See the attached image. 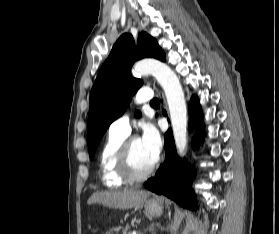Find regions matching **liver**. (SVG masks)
Instances as JSON below:
<instances>
[{
    "label": "liver",
    "instance_id": "6515ba94",
    "mask_svg": "<svg viewBox=\"0 0 279 234\" xmlns=\"http://www.w3.org/2000/svg\"><path fill=\"white\" fill-rule=\"evenodd\" d=\"M150 193L143 190H123L95 192L88 199L87 204L99 203L115 209H131L140 205L149 197Z\"/></svg>",
    "mask_w": 279,
    "mask_h": 234
}]
</instances>
